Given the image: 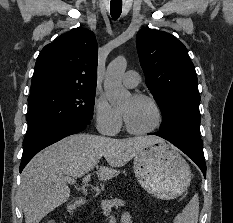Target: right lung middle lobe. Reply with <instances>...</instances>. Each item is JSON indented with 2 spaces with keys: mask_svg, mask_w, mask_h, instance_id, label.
<instances>
[{
  "mask_svg": "<svg viewBox=\"0 0 233 223\" xmlns=\"http://www.w3.org/2000/svg\"><path fill=\"white\" fill-rule=\"evenodd\" d=\"M94 102L95 89L54 88L30 94L24 146L68 120L92 119Z\"/></svg>",
  "mask_w": 233,
  "mask_h": 223,
  "instance_id": "1",
  "label": "right lung middle lobe"
}]
</instances>
